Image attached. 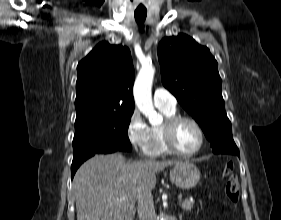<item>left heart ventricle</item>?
I'll list each match as a JSON object with an SVG mask.
<instances>
[{"mask_svg": "<svg viewBox=\"0 0 281 220\" xmlns=\"http://www.w3.org/2000/svg\"><path fill=\"white\" fill-rule=\"evenodd\" d=\"M176 146L182 151H191L199 144V133L190 122H180L174 131Z\"/></svg>", "mask_w": 281, "mask_h": 220, "instance_id": "1", "label": "left heart ventricle"}]
</instances>
